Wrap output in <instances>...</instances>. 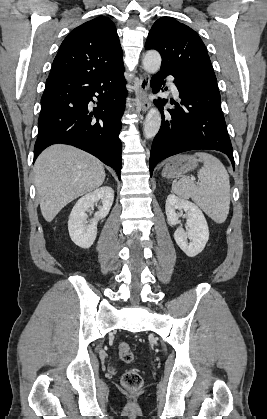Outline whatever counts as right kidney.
I'll return each mask as SVG.
<instances>
[{
  "label": "right kidney",
  "instance_id": "ca27d5eb",
  "mask_svg": "<svg viewBox=\"0 0 267 419\" xmlns=\"http://www.w3.org/2000/svg\"><path fill=\"white\" fill-rule=\"evenodd\" d=\"M114 200V191L111 187L105 186L94 190L81 197L74 205L68 220V230L72 241L81 248H90L97 236V223L105 218ZM101 201L99 211L95 213L88 225L86 211L95 203Z\"/></svg>",
  "mask_w": 267,
  "mask_h": 419
}]
</instances>
